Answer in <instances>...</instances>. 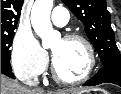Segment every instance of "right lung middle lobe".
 <instances>
[{
  "instance_id": "right-lung-middle-lobe-1",
  "label": "right lung middle lobe",
  "mask_w": 121,
  "mask_h": 94,
  "mask_svg": "<svg viewBox=\"0 0 121 94\" xmlns=\"http://www.w3.org/2000/svg\"><path fill=\"white\" fill-rule=\"evenodd\" d=\"M14 31L1 32V64H10L11 51L9 48L12 45Z\"/></svg>"
}]
</instances>
